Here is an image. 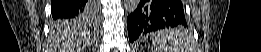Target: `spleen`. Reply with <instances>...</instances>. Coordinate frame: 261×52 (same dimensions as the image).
Here are the masks:
<instances>
[{
	"mask_svg": "<svg viewBox=\"0 0 261 52\" xmlns=\"http://www.w3.org/2000/svg\"><path fill=\"white\" fill-rule=\"evenodd\" d=\"M154 52H180L184 46V35L179 28L158 31L153 34Z\"/></svg>",
	"mask_w": 261,
	"mask_h": 52,
	"instance_id": "3e777b00",
	"label": "spleen"
}]
</instances>
